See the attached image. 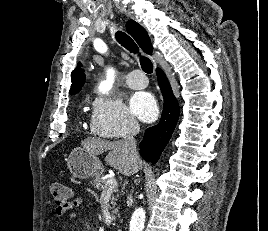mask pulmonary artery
<instances>
[{
  "label": "pulmonary artery",
  "mask_w": 268,
  "mask_h": 231,
  "mask_svg": "<svg viewBox=\"0 0 268 231\" xmlns=\"http://www.w3.org/2000/svg\"><path fill=\"white\" fill-rule=\"evenodd\" d=\"M126 83L130 88L139 90L147 86L148 80L141 70L135 69L128 73Z\"/></svg>",
  "instance_id": "obj_1"
}]
</instances>
